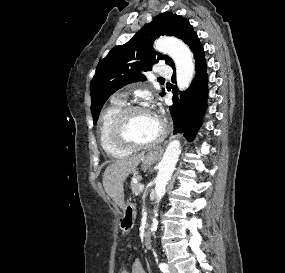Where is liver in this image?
Wrapping results in <instances>:
<instances>
[{"instance_id":"liver-1","label":"liver","mask_w":285,"mask_h":273,"mask_svg":"<svg viewBox=\"0 0 285 273\" xmlns=\"http://www.w3.org/2000/svg\"><path fill=\"white\" fill-rule=\"evenodd\" d=\"M144 159V153L116 160L110 164L103 174V186L115 204L124 209V188L123 183L127 176L139 165Z\"/></svg>"}]
</instances>
